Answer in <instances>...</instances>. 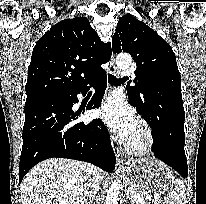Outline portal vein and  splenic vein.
I'll use <instances>...</instances> for the list:
<instances>
[{
  "label": "portal vein and splenic vein",
  "instance_id": "portal-vein-and-splenic-vein-1",
  "mask_svg": "<svg viewBox=\"0 0 206 204\" xmlns=\"http://www.w3.org/2000/svg\"><path fill=\"white\" fill-rule=\"evenodd\" d=\"M130 195L137 199V201L140 203V204H144L143 203V200L139 197V195L137 193H135L134 191H130ZM154 201H155V204H158L159 203V197H155L154 198Z\"/></svg>",
  "mask_w": 206,
  "mask_h": 204
}]
</instances>
